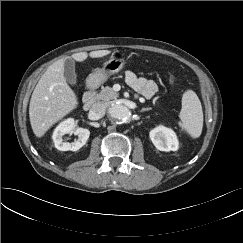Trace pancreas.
<instances>
[{
    "label": "pancreas",
    "instance_id": "cf45deb5",
    "mask_svg": "<svg viewBox=\"0 0 243 243\" xmlns=\"http://www.w3.org/2000/svg\"><path fill=\"white\" fill-rule=\"evenodd\" d=\"M119 94L113 90V88L106 86L96 95L98 101H110L117 99Z\"/></svg>",
    "mask_w": 243,
    "mask_h": 243
}]
</instances>
